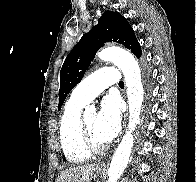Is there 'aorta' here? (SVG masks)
I'll use <instances>...</instances> for the list:
<instances>
[{
    "label": "aorta",
    "mask_w": 196,
    "mask_h": 182,
    "mask_svg": "<svg viewBox=\"0 0 196 182\" xmlns=\"http://www.w3.org/2000/svg\"><path fill=\"white\" fill-rule=\"evenodd\" d=\"M101 60L112 61L123 72L127 86L129 102L128 129L116 149L108 171V182H117L125 170L132 151L133 131L140 123V111L143 103L144 89L141 81L140 67L131 53L119 48H106L98 53ZM95 106L86 107V112L95 113Z\"/></svg>",
    "instance_id": "aorta-1"
}]
</instances>
